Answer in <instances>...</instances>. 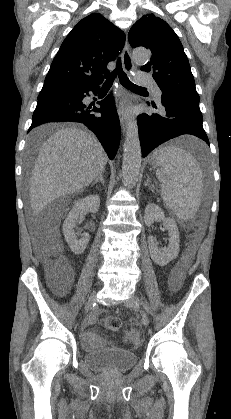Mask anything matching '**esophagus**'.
Masks as SVG:
<instances>
[{
    "mask_svg": "<svg viewBox=\"0 0 231 419\" xmlns=\"http://www.w3.org/2000/svg\"><path fill=\"white\" fill-rule=\"evenodd\" d=\"M122 62H123V67L126 72L131 73L134 70V63L131 58V53H130V48H129V43H128L127 38H126L125 46L122 52ZM118 115H119L122 130L125 131L127 122H128L126 99L121 100L118 107Z\"/></svg>",
    "mask_w": 231,
    "mask_h": 419,
    "instance_id": "34e87169",
    "label": "esophagus"
}]
</instances>
